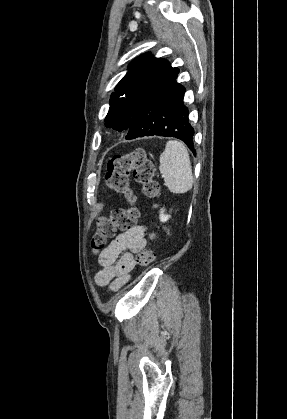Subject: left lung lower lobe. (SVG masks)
<instances>
[{"label":"left lung lower lobe","instance_id":"1","mask_svg":"<svg viewBox=\"0 0 287 419\" xmlns=\"http://www.w3.org/2000/svg\"><path fill=\"white\" fill-rule=\"evenodd\" d=\"M185 88L174 83L146 101L135 113L126 139L144 136L175 137L196 155L194 129L189 123L188 109L183 103Z\"/></svg>","mask_w":287,"mask_h":419}]
</instances>
